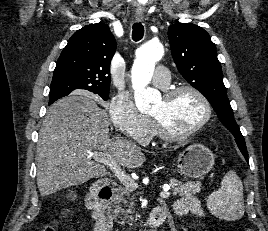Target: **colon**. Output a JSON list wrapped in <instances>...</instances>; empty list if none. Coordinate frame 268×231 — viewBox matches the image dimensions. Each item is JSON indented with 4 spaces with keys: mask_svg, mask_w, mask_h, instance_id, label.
Segmentation results:
<instances>
[{
    "mask_svg": "<svg viewBox=\"0 0 268 231\" xmlns=\"http://www.w3.org/2000/svg\"><path fill=\"white\" fill-rule=\"evenodd\" d=\"M41 231H55V227L52 223L43 224L40 228ZM247 231H253L252 229H247Z\"/></svg>",
    "mask_w": 268,
    "mask_h": 231,
    "instance_id": "obj_1",
    "label": "colon"
}]
</instances>
